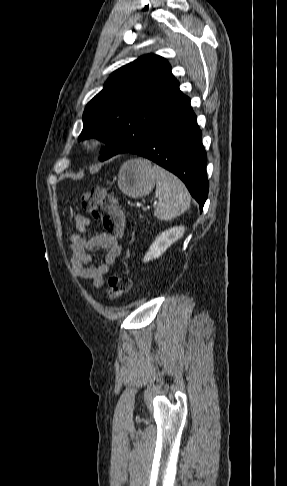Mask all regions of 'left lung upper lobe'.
Here are the masks:
<instances>
[{
    "mask_svg": "<svg viewBox=\"0 0 287 486\" xmlns=\"http://www.w3.org/2000/svg\"><path fill=\"white\" fill-rule=\"evenodd\" d=\"M184 97L170 64L147 54L114 71L86 106L79 140L96 137L108 144L101 161L138 147Z\"/></svg>",
    "mask_w": 287,
    "mask_h": 486,
    "instance_id": "left-lung-upper-lobe-1",
    "label": "left lung upper lobe"
}]
</instances>
